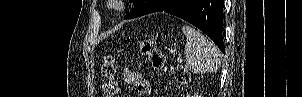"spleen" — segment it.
<instances>
[{
    "label": "spleen",
    "mask_w": 302,
    "mask_h": 97,
    "mask_svg": "<svg viewBox=\"0 0 302 97\" xmlns=\"http://www.w3.org/2000/svg\"><path fill=\"white\" fill-rule=\"evenodd\" d=\"M182 32L186 36L184 49L185 68L196 74L217 71L220 68L222 60L218 47L202 33L189 25H184Z\"/></svg>",
    "instance_id": "3e777b00"
}]
</instances>
